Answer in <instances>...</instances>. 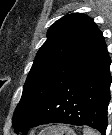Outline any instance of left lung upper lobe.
Here are the masks:
<instances>
[{
	"label": "left lung upper lobe",
	"instance_id": "1",
	"mask_svg": "<svg viewBox=\"0 0 112 135\" xmlns=\"http://www.w3.org/2000/svg\"><path fill=\"white\" fill-rule=\"evenodd\" d=\"M102 39L93 19L82 13L67 14L49 28L14 111L17 133Z\"/></svg>",
	"mask_w": 112,
	"mask_h": 135
}]
</instances>
